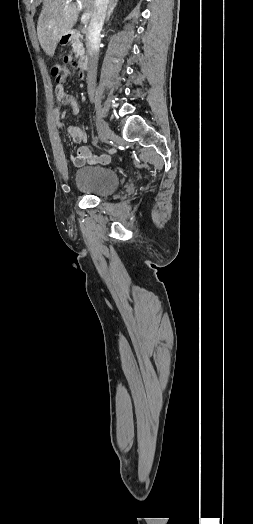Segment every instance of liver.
Masks as SVG:
<instances>
[{"label":"liver","mask_w":253,"mask_h":524,"mask_svg":"<svg viewBox=\"0 0 253 524\" xmlns=\"http://www.w3.org/2000/svg\"><path fill=\"white\" fill-rule=\"evenodd\" d=\"M92 16L95 0H79ZM78 6L72 0H44L37 23V36L44 52L53 56L59 39L67 34L78 18Z\"/></svg>","instance_id":"6515ba94"}]
</instances>
